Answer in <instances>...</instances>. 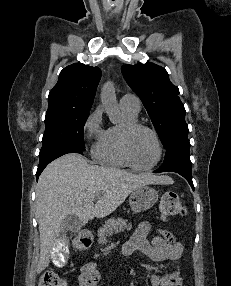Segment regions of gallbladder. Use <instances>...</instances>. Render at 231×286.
<instances>
[{
	"label": "gallbladder",
	"instance_id": "obj_1",
	"mask_svg": "<svg viewBox=\"0 0 231 286\" xmlns=\"http://www.w3.org/2000/svg\"><path fill=\"white\" fill-rule=\"evenodd\" d=\"M81 228V221L79 219V217H77V214L75 213H71V214H67V217L63 220V222H61L60 224V230H68V231H72V232H77L78 230H80ZM62 238H58L60 240H54L53 242V247H51L52 249V263L56 266V267H65L64 265L67 263V259L70 257L68 256L69 254V247L67 244L68 243V239H63V238H67L65 236H59Z\"/></svg>",
	"mask_w": 231,
	"mask_h": 286
}]
</instances>
